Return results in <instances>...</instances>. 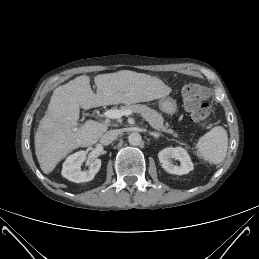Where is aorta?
<instances>
[{
  "label": "aorta",
  "instance_id": "obj_1",
  "mask_svg": "<svg viewBox=\"0 0 259 259\" xmlns=\"http://www.w3.org/2000/svg\"><path fill=\"white\" fill-rule=\"evenodd\" d=\"M128 142L132 146L140 145V143L142 142V137L137 132L130 133L128 136Z\"/></svg>",
  "mask_w": 259,
  "mask_h": 259
}]
</instances>
